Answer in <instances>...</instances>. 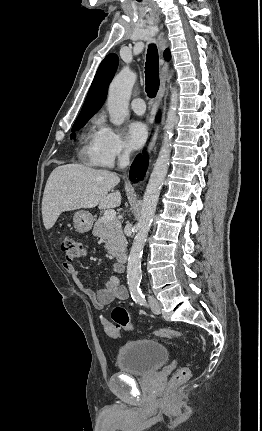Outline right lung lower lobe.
<instances>
[{"label": "right lung lower lobe", "instance_id": "right-lung-lower-lobe-1", "mask_svg": "<svg viewBox=\"0 0 262 431\" xmlns=\"http://www.w3.org/2000/svg\"><path fill=\"white\" fill-rule=\"evenodd\" d=\"M147 168V156L144 157L142 155H138L136 159L134 160L129 177L132 181H135V179L138 177L139 180H141L145 174Z\"/></svg>", "mask_w": 262, "mask_h": 431}]
</instances>
